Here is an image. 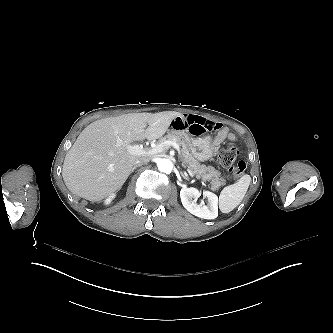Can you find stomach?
<instances>
[{
    "label": "stomach",
    "mask_w": 333,
    "mask_h": 333,
    "mask_svg": "<svg viewBox=\"0 0 333 333\" xmlns=\"http://www.w3.org/2000/svg\"><path fill=\"white\" fill-rule=\"evenodd\" d=\"M172 132H177L178 130L171 128ZM185 138L190 139L185 136ZM191 153L197 160L204 162L213 158L219 148L213 143V136L211 134H206L203 136L192 137L191 139Z\"/></svg>",
    "instance_id": "1"
}]
</instances>
